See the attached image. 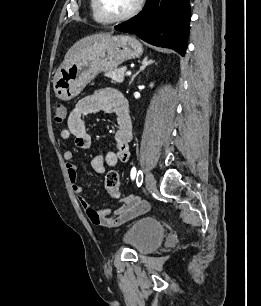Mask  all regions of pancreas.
I'll use <instances>...</instances> for the list:
<instances>
[{
    "label": "pancreas",
    "mask_w": 261,
    "mask_h": 306,
    "mask_svg": "<svg viewBox=\"0 0 261 306\" xmlns=\"http://www.w3.org/2000/svg\"><path fill=\"white\" fill-rule=\"evenodd\" d=\"M125 68L115 69L105 74L106 77L111 78L115 83H122L124 81Z\"/></svg>",
    "instance_id": "pancreas-1"
}]
</instances>
